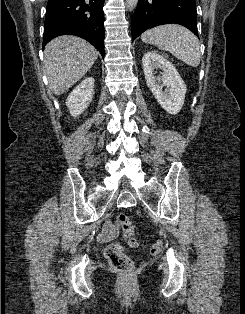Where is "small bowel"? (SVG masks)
Listing matches in <instances>:
<instances>
[{
    "label": "small bowel",
    "instance_id": "obj_1",
    "mask_svg": "<svg viewBox=\"0 0 245 314\" xmlns=\"http://www.w3.org/2000/svg\"><path fill=\"white\" fill-rule=\"evenodd\" d=\"M118 234V227L112 221H106L103 230L98 234V240L101 243H108L116 239Z\"/></svg>",
    "mask_w": 245,
    "mask_h": 314
}]
</instances>
